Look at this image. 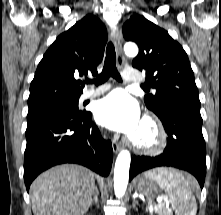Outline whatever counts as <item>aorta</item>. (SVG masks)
I'll return each instance as SVG.
<instances>
[{
	"label": "aorta",
	"instance_id": "762f6f07",
	"mask_svg": "<svg viewBox=\"0 0 221 215\" xmlns=\"http://www.w3.org/2000/svg\"><path fill=\"white\" fill-rule=\"evenodd\" d=\"M125 55L135 57L138 54V47L134 43H126L123 47ZM131 155L128 150H122L116 159L114 169V192L117 198L125 194L129 179V168Z\"/></svg>",
	"mask_w": 221,
	"mask_h": 215
}]
</instances>
